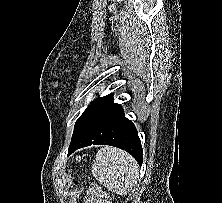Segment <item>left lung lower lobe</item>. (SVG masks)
I'll use <instances>...</instances> for the list:
<instances>
[{"instance_id":"1","label":"left lung lower lobe","mask_w":222,"mask_h":203,"mask_svg":"<svg viewBox=\"0 0 222 203\" xmlns=\"http://www.w3.org/2000/svg\"><path fill=\"white\" fill-rule=\"evenodd\" d=\"M111 145L130 153L139 165L143 151L134 124L125 118L122 107L110 97L84 130L70 143L68 155L90 145Z\"/></svg>"}]
</instances>
